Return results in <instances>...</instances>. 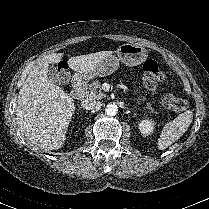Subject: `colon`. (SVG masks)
Returning a JSON list of instances; mask_svg holds the SVG:
<instances>
[{
    "mask_svg": "<svg viewBox=\"0 0 209 209\" xmlns=\"http://www.w3.org/2000/svg\"><path fill=\"white\" fill-rule=\"evenodd\" d=\"M59 76L63 83H67L70 73L67 65L61 62L58 67ZM165 79L164 73L159 69L158 63L153 59H148L143 64V85L150 91H154L158 84ZM165 108L174 112H183L188 107V102L181 97L175 95H167L163 98Z\"/></svg>",
    "mask_w": 209,
    "mask_h": 209,
    "instance_id": "colon-1",
    "label": "colon"
}]
</instances>
